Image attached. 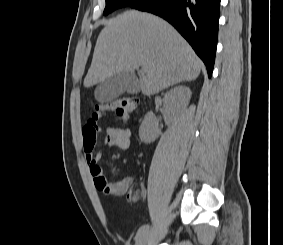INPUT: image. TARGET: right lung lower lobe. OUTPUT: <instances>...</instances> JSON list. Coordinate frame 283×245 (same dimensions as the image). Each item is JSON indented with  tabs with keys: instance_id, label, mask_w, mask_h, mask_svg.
Wrapping results in <instances>:
<instances>
[{
	"instance_id": "obj_1",
	"label": "right lung lower lobe",
	"mask_w": 283,
	"mask_h": 245,
	"mask_svg": "<svg viewBox=\"0 0 283 245\" xmlns=\"http://www.w3.org/2000/svg\"><path fill=\"white\" fill-rule=\"evenodd\" d=\"M220 0H140L132 8L171 23L190 43L211 77L218 37Z\"/></svg>"
}]
</instances>
